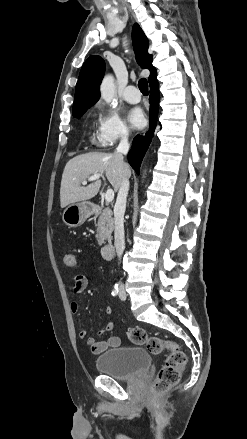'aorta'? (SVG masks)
<instances>
[{
    "label": "aorta",
    "instance_id": "1",
    "mask_svg": "<svg viewBox=\"0 0 247 439\" xmlns=\"http://www.w3.org/2000/svg\"><path fill=\"white\" fill-rule=\"evenodd\" d=\"M101 98L110 104H114L116 96L115 80L112 75H106L100 86Z\"/></svg>",
    "mask_w": 247,
    "mask_h": 439
}]
</instances>
